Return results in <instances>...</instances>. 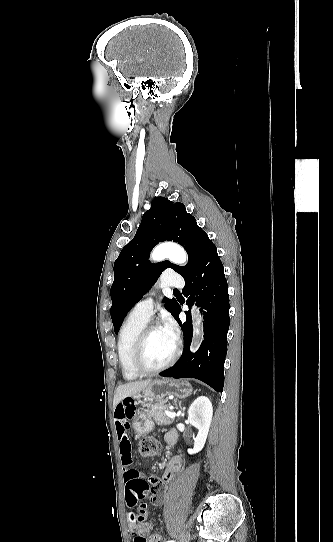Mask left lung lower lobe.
Here are the masks:
<instances>
[{"label":"left lung lower lobe","mask_w":333,"mask_h":542,"mask_svg":"<svg viewBox=\"0 0 333 542\" xmlns=\"http://www.w3.org/2000/svg\"><path fill=\"white\" fill-rule=\"evenodd\" d=\"M185 287L182 292L188 298L187 305L201 307L204 315V340L196 353L189 346L192 338V319L190 311L185 312L187 320H179L181 311L179 301L176 315L183 330L184 351L179 361L161 373L164 377L199 379L217 392L223 391L224 360L227 353V333L229 330L228 285L217 248L208 240L202 249L196 267L183 277ZM178 302V301H177Z\"/></svg>","instance_id":"obj_1"}]
</instances>
